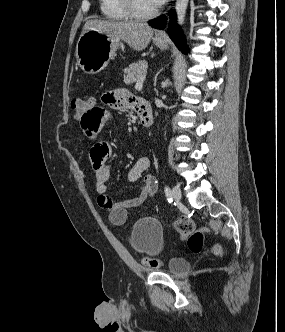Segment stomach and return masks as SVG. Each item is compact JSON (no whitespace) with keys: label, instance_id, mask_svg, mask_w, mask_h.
I'll use <instances>...</instances> for the list:
<instances>
[{"label":"stomach","instance_id":"1","mask_svg":"<svg viewBox=\"0 0 285 332\" xmlns=\"http://www.w3.org/2000/svg\"><path fill=\"white\" fill-rule=\"evenodd\" d=\"M153 43L161 49L168 47L165 38L155 36ZM122 46L118 38L110 37L97 30H87L77 42L75 52L77 64L85 73L97 74L108 65L117 49Z\"/></svg>","mask_w":285,"mask_h":332}]
</instances>
